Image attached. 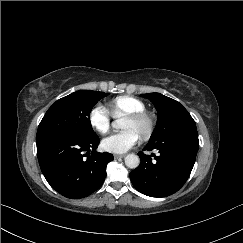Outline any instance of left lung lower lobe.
Returning a JSON list of instances; mask_svg holds the SVG:
<instances>
[{
	"label": "left lung lower lobe",
	"instance_id": "0a47b994",
	"mask_svg": "<svg viewBox=\"0 0 243 243\" xmlns=\"http://www.w3.org/2000/svg\"><path fill=\"white\" fill-rule=\"evenodd\" d=\"M199 148L196 127H189L154 143L143 151L158 150L152 160L149 155L139 152L140 165L130 172L133 186L151 197H166L177 192L188 179L195 163Z\"/></svg>",
	"mask_w": 243,
	"mask_h": 243
}]
</instances>
